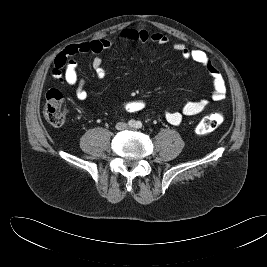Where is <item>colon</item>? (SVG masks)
<instances>
[{
	"label": "colon",
	"instance_id": "1",
	"mask_svg": "<svg viewBox=\"0 0 267 267\" xmlns=\"http://www.w3.org/2000/svg\"><path fill=\"white\" fill-rule=\"evenodd\" d=\"M144 102L131 100L123 104V109L128 112L143 110ZM43 115L46 121L53 126H61L65 121V108L62 93L57 89H50L46 94V102L43 108ZM223 115L215 112L205 116L196 126L198 135H207L216 130L223 122Z\"/></svg>",
	"mask_w": 267,
	"mask_h": 267
}]
</instances>
